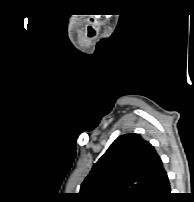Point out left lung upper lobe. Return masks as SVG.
Wrapping results in <instances>:
<instances>
[{
    "label": "left lung upper lobe",
    "mask_w": 194,
    "mask_h": 202,
    "mask_svg": "<svg viewBox=\"0 0 194 202\" xmlns=\"http://www.w3.org/2000/svg\"><path fill=\"white\" fill-rule=\"evenodd\" d=\"M165 170L138 134L117 138L81 185L83 202H151Z\"/></svg>",
    "instance_id": "1"
}]
</instances>
